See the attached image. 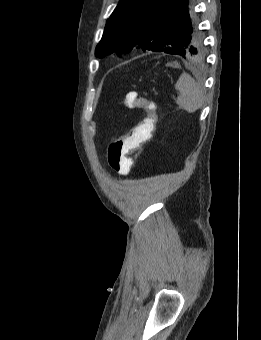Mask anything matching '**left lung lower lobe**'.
I'll use <instances>...</instances> for the list:
<instances>
[{"label":"left lung lower lobe","instance_id":"0a47b994","mask_svg":"<svg viewBox=\"0 0 261 340\" xmlns=\"http://www.w3.org/2000/svg\"><path fill=\"white\" fill-rule=\"evenodd\" d=\"M193 2V0H165L161 10L168 14L167 18L178 20L187 14L191 7L194 8Z\"/></svg>","mask_w":261,"mask_h":340}]
</instances>
